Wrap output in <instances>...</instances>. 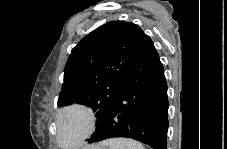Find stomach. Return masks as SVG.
<instances>
[{"mask_svg":"<svg viewBox=\"0 0 227 149\" xmlns=\"http://www.w3.org/2000/svg\"><path fill=\"white\" fill-rule=\"evenodd\" d=\"M89 149H102V148H96V147L93 148V147H90Z\"/></svg>","mask_w":227,"mask_h":149,"instance_id":"1","label":"stomach"}]
</instances>
